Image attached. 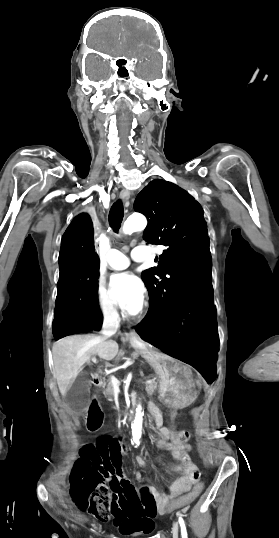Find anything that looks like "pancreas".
Here are the masks:
<instances>
[{
	"instance_id": "pancreas-1",
	"label": "pancreas",
	"mask_w": 279,
	"mask_h": 538,
	"mask_svg": "<svg viewBox=\"0 0 279 538\" xmlns=\"http://www.w3.org/2000/svg\"><path fill=\"white\" fill-rule=\"evenodd\" d=\"M107 384L106 386H103V394L108 398V400H112L114 396V388L111 380H106ZM142 388H144V395H147V392L154 393L157 391L156 388V381L154 379H148L147 381H143Z\"/></svg>"
}]
</instances>
